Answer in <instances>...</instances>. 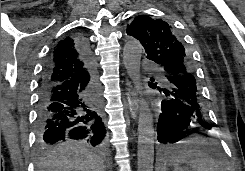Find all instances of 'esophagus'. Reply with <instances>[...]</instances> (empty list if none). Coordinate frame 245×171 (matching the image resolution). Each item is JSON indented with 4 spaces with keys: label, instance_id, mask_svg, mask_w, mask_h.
Segmentation results:
<instances>
[{
    "label": "esophagus",
    "instance_id": "esophagus-1",
    "mask_svg": "<svg viewBox=\"0 0 245 171\" xmlns=\"http://www.w3.org/2000/svg\"><path fill=\"white\" fill-rule=\"evenodd\" d=\"M125 103L131 118L136 120L138 117L139 104L134 91L130 87L126 89Z\"/></svg>",
    "mask_w": 245,
    "mask_h": 171
}]
</instances>
